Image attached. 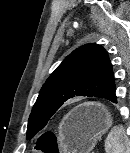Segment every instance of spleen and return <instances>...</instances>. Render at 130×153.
I'll list each match as a JSON object with an SVG mask.
<instances>
[{
    "label": "spleen",
    "mask_w": 130,
    "mask_h": 153,
    "mask_svg": "<svg viewBox=\"0 0 130 153\" xmlns=\"http://www.w3.org/2000/svg\"><path fill=\"white\" fill-rule=\"evenodd\" d=\"M106 153H130V141L122 125L114 126L105 140Z\"/></svg>",
    "instance_id": "spleen-1"
}]
</instances>
